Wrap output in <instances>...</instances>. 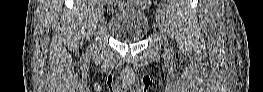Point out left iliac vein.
I'll return each mask as SVG.
<instances>
[{
	"instance_id": "1",
	"label": "left iliac vein",
	"mask_w": 263,
	"mask_h": 92,
	"mask_svg": "<svg viewBox=\"0 0 263 92\" xmlns=\"http://www.w3.org/2000/svg\"><path fill=\"white\" fill-rule=\"evenodd\" d=\"M157 21L159 23V28L161 31V34L163 35L164 38V47L166 51H169V44L166 40V28H165V21H164V16H161L160 13L157 16Z\"/></svg>"
}]
</instances>
